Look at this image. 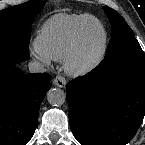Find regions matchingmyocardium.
<instances>
[{"label":"myocardium","mask_w":145,"mask_h":145,"mask_svg":"<svg viewBox=\"0 0 145 145\" xmlns=\"http://www.w3.org/2000/svg\"><path fill=\"white\" fill-rule=\"evenodd\" d=\"M100 28L102 39L98 49L90 56H84L85 39L84 33L90 21L84 22L77 30L76 40L64 58V70L71 76H83L92 72L104 59L107 46L108 34L105 26L97 18L93 19Z\"/></svg>","instance_id":"f54148a6"}]
</instances>
